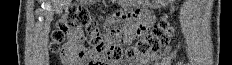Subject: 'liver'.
<instances>
[{
  "mask_svg": "<svg viewBox=\"0 0 232 65\" xmlns=\"http://www.w3.org/2000/svg\"><path fill=\"white\" fill-rule=\"evenodd\" d=\"M53 9L56 13H62L63 9L71 2V0H51Z\"/></svg>",
  "mask_w": 232,
  "mask_h": 65,
  "instance_id": "1",
  "label": "liver"
}]
</instances>
